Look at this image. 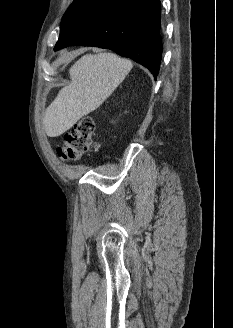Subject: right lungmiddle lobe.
<instances>
[{"label": "right lung middle lobe", "mask_w": 233, "mask_h": 328, "mask_svg": "<svg viewBox=\"0 0 233 328\" xmlns=\"http://www.w3.org/2000/svg\"><path fill=\"white\" fill-rule=\"evenodd\" d=\"M92 0H74L69 9L66 11V13L63 16V19L73 12L83 8L87 4H89Z\"/></svg>", "instance_id": "1"}]
</instances>
